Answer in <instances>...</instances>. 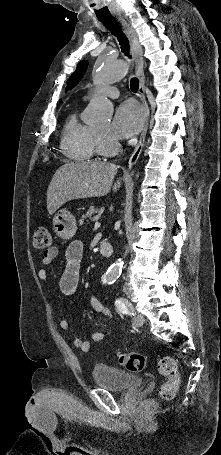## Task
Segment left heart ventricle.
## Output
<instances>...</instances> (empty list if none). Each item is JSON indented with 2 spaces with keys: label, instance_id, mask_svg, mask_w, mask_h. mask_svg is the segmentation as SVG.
<instances>
[{
  "label": "left heart ventricle",
  "instance_id": "left-heart-ventricle-1",
  "mask_svg": "<svg viewBox=\"0 0 221 455\" xmlns=\"http://www.w3.org/2000/svg\"><path fill=\"white\" fill-rule=\"evenodd\" d=\"M97 129H98L100 132L109 135V124H108V123H107V124H104V125H102V126L97 127Z\"/></svg>",
  "mask_w": 221,
  "mask_h": 455
}]
</instances>
